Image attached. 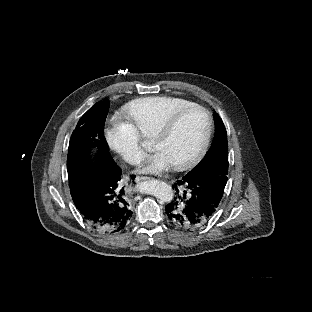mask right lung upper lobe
I'll return each mask as SVG.
<instances>
[{
	"mask_svg": "<svg viewBox=\"0 0 312 312\" xmlns=\"http://www.w3.org/2000/svg\"><path fill=\"white\" fill-rule=\"evenodd\" d=\"M105 161H106V160H99V159L95 156V162H105ZM92 164H93V163H91V160H90V158H89L88 162H87L86 165L83 166V167L88 168V167H90ZM83 171H84V168H82V171H81V172H83ZM103 234H105V233H103Z\"/></svg>",
	"mask_w": 312,
	"mask_h": 312,
	"instance_id": "1",
	"label": "right lung upper lobe"
}]
</instances>
